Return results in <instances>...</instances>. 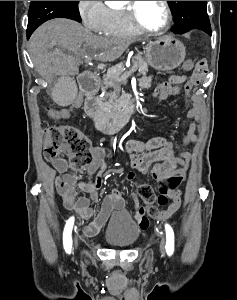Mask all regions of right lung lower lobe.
<instances>
[{"instance_id": "obj_1", "label": "right lung lower lobe", "mask_w": 237, "mask_h": 300, "mask_svg": "<svg viewBox=\"0 0 237 300\" xmlns=\"http://www.w3.org/2000/svg\"><path fill=\"white\" fill-rule=\"evenodd\" d=\"M33 31H34V30L28 29V28H27V37H28V38H29L30 35L33 33Z\"/></svg>"}]
</instances>
